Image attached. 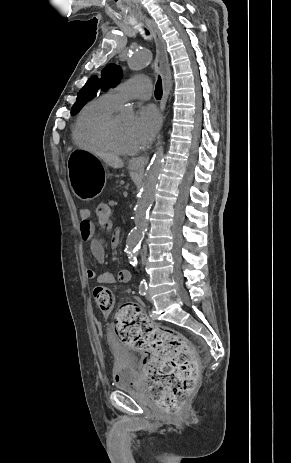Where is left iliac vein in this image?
Here are the masks:
<instances>
[{
	"instance_id": "left-iliac-vein-1",
	"label": "left iliac vein",
	"mask_w": 291,
	"mask_h": 463,
	"mask_svg": "<svg viewBox=\"0 0 291 463\" xmlns=\"http://www.w3.org/2000/svg\"><path fill=\"white\" fill-rule=\"evenodd\" d=\"M146 299H147L148 301L152 302V298H151V296H150L149 293L146 294Z\"/></svg>"
}]
</instances>
